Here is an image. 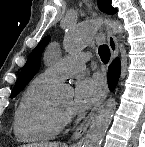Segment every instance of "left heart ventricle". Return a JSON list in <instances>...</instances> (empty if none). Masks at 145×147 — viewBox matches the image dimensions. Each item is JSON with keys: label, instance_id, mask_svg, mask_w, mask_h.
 I'll list each match as a JSON object with an SVG mask.
<instances>
[{"label": "left heart ventricle", "instance_id": "obj_1", "mask_svg": "<svg viewBox=\"0 0 145 147\" xmlns=\"http://www.w3.org/2000/svg\"><path fill=\"white\" fill-rule=\"evenodd\" d=\"M56 104L63 110H69L71 107V98H63L56 102Z\"/></svg>", "mask_w": 145, "mask_h": 147}]
</instances>
